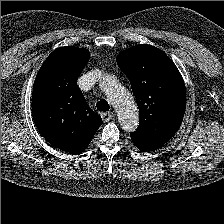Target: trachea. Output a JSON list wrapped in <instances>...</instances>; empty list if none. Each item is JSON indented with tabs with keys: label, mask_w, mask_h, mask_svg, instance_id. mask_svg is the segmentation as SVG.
<instances>
[{
	"label": "trachea",
	"mask_w": 224,
	"mask_h": 224,
	"mask_svg": "<svg viewBox=\"0 0 224 224\" xmlns=\"http://www.w3.org/2000/svg\"><path fill=\"white\" fill-rule=\"evenodd\" d=\"M96 106L97 110L100 112L109 111V104L106 100H100Z\"/></svg>",
	"instance_id": "1"
}]
</instances>
